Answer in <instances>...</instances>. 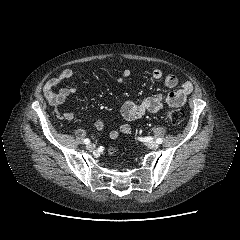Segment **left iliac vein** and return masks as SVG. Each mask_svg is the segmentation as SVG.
Returning a JSON list of instances; mask_svg holds the SVG:
<instances>
[{"label": "left iliac vein", "mask_w": 240, "mask_h": 240, "mask_svg": "<svg viewBox=\"0 0 240 240\" xmlns=\"http://www.w3.org/2000/svg\"><path fill=\"white\" fill-rule=\"evenodd\" d=\"M146 145L150 148V149H157L159 147L158 143L157 142H154V141H148L146 143Z\"/></svg>", "instance_id": "1"}]
</instances>
